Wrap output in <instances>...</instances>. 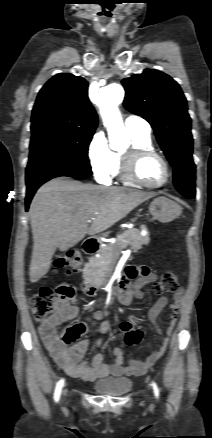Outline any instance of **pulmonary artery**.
Listing matches in <instances>:
<instances>
[{"label": "pulmonary artery", "mask_w": 212, "mask_h": 438, "mask_svg": "<svg viewBox=\"0 0 212 438\" xmlns=\"http://www.w3.org/2000/svg\"><path fill=\"white\" fill-rule=\"evenodd\" d=\"M125 127L130 133L148 136L151 133L150 124L138 115H128L124 121Z\"/></svg>", "instance_id": "1"}]
</instances>
